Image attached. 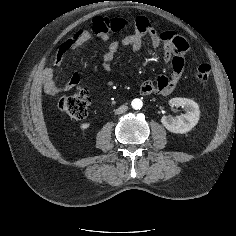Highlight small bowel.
<instances>
[{"mask_svg":"<svg viewBox=\"0 0 236 236\" xmlns=\"http://www.w3.org/2000/svg\"><path fill=\"white\" fill-rule=\"evenodd\" d=\"M109 32V30L99 26L93 28L92 31L81 30L72 39L64 41L53 59V67H46L41 73L46 92L50 95H58L62 91L72 89L79 84L80 77L78 74H73L64 84H59L55 79L54 68L61 67L65 55L83 43L93 39L108 43V47L103 54L101 69L104 72H110L112 69L111 62L120 46H128L134 52H138L146 37H149L154 48L163 46V60L171 64L172 73L170 76H158L155 82L151 80L144 81L140 86V93L142 95H169L174 91L183 75L185 56L189 51V43L183 36L170 30L157 32L147 18L137 21L135 31L120 40L111 41Z\"/></svg>","mask_w":236,"mask_h":236,"instance_id":"1","label":"small bowel"}]
</instances>
